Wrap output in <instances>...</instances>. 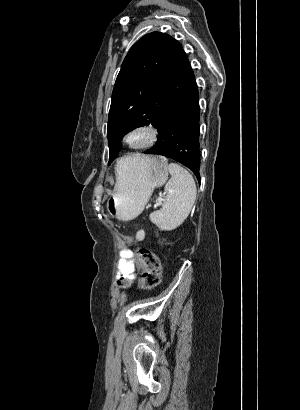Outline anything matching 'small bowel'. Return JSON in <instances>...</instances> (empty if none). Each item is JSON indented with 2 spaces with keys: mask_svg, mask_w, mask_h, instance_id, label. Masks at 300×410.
Segmentation results:
<instances>
[{
  "mask_svg": "<svg viewBox=\"0 0 300 410\" xmlns=\"http://www.w3.org/2000/svg\"><path fill=\"white\" fill-rule=\"evenodd\" d=\"M137 239L144 238V231L137 233ZM119 276L122 280L133 281L136 278V260L134 254L129 250H122L120 253Z\"/></svg>",
  "mask_w": 300,
  "mask_h": 410,
  "instance_id": "small-bowel-1",
  "label": "small bowel"
}]
</instances>
